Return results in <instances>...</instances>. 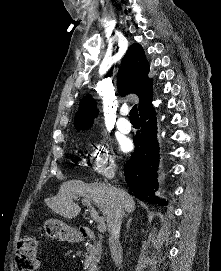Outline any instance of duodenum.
<instances>
[{
  "instance_id": "1",
  "label": "duodenum",
  "mask_w": 221,
  "mask_h": 271,
  "mask_svg": "<svg viewBox=\"0 0 221 271\" xmlns=\"http://www.w3.org/2000/svg\"><path fill=\"white\" fill-rule=\"evenodd\" d=\"M83 235L85 236V237H93V234L92 233H90V232H88V231H84L83 232Z\"/></svg>"
}]
</instances>
